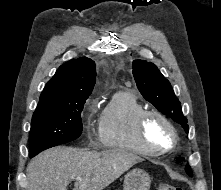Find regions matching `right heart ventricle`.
<instances>
[{"label": "right heart ventricle", "instance_id": "1", "mask_svg": "<svg viewBox=\"0 0 221 190\" xmlns=\"http://www.w3.org/2000/svg\"><path fill=\"white\" fill-rule=\"evenodd\" d=\"M145 109L131 90L114 92L99 119L98 135L102 145L109 149L152 155L142 146L136 134L137 118Z\"/></svg>", "mask_w": 221, "mask_h": 190}]
</instances>
